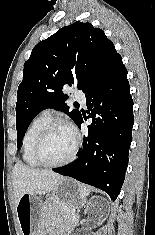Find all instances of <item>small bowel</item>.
I'll use <instances>...</instances> for the list:
<instances>
[{
  "label": "small bowel",
  "instance_id": "1",
  "mask_svg": "<svg viewBox=\"0 0 155 235\" xmlns=\"http://www.w3.org/2000/svg\"><path fill=\"white\" fill-rule=\"evenodd\" d=\"M54 235H67V233L66 232H60V233L54 234Z\"/></svg>",
  "mask_w": 155,
  "mask_h": 235
}]
</instances>
